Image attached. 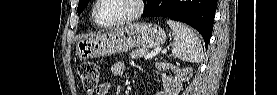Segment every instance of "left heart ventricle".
<instances>
[{"instance_id": "1", "label": "left heart ventricle", "mask_w": 277, "mask_h": 95, "mask_svg": "<svg viewBox=\"0 0 277 95\" xmlns=\"http://www.w3.org/2000/svg\"><path fill=\"white\" fill-rule=\"evenodd\" d=\"M133 9L129 0H103L96 13L99 20L106 23L130 15Z\"/></svg>"}]
</instances>
